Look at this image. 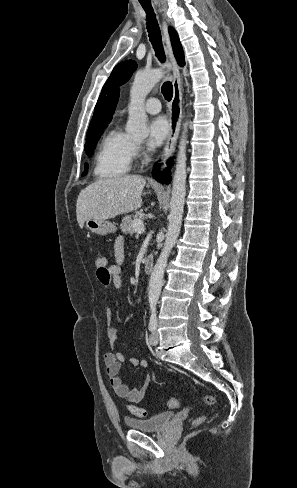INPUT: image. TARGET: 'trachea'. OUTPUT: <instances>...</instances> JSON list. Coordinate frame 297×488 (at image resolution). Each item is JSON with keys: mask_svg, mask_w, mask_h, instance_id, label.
Here are the masks:
<instances>
[{"mask_svg": "<svg viewBox=\"0 0 297 488\" xmlns=\"http://www.w3.org/2000/svg\"><path fill=\"white\" fill-rule=\"evenodd\" d=\"M141 5L147 13V30L149 33V40L155 50L156 57L161 61H165V53L162 45L161 32L155 18V14L150 2H141ZM162 94L167 101H170L173 96V87L171 82H165L162 85Z\"/></svg>", "mask_w": 297, "mask_h": 488, "instance_id": "obj_1", "label": "trachea"}]
</instances>
